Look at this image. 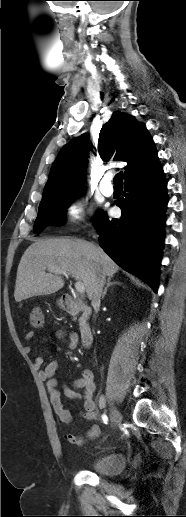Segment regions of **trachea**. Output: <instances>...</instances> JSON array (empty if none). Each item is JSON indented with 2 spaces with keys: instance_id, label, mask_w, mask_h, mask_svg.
Wrapping results in <instances>:
<instances>
[{
  "instance_id": "obj_1",
  "label": "trachea",
  "mask_w": 186,
  "mask_h": 517,
  "mask_svg": "<svg viewBox=\"0 0 186 517\" xmlns=\"http://www.w3.org/2000/svg\"><path fill=\"white\" fill-rule=\"evenodd\" d=\"M113 181L116 186H123V172L116 174Z\"/></svg>"
}]
</instances>
